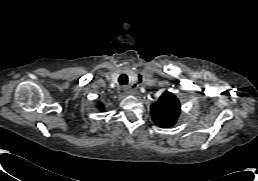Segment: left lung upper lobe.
<instances>
[{
	"mask_svg": "<svg viewBox=\"0 0 258 181\" xmlns=\"http://www.w3.org/2000/svg\"><path fill=\"white\" fill-rule=\"evenodd\" d=\"M179 113V100L170 92H165L160 99L151 106L152 120L157 126L162 128L173 126Z\"/></svg>",
	"mask_w": 258,
	"mask_h": 181,
	"instance_id": "1",
	"label": "left lung upper lobe"
}]
</instances>
